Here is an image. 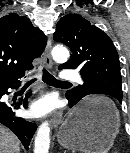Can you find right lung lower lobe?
<instances>
[{
  "instance_id": "98d812e1",
  "label": "right lung lower lobe",
  "mask_w": 130,
  "mask_h": 153,
  "mask_svg": "<svg viewBox=\"0 0 130 153\" xmlns=\"http://www.w3.org/2000/svg\"><path fill=\"white\" fill-rule=\"evenodd\" d=\"M19 85V80L12 83L0 84V99L4 94H9L7 91L9 88L15 89L18 88ZM29 96L30 93H28L24 99L21 98L18 103L13 104L0 100V123L11 129L27 150L37 126L34 123L24 120L23 118L17 117L13 110L19 108L20 105L26 107L27 98Z\"/></svg>"
}]
</instances>
